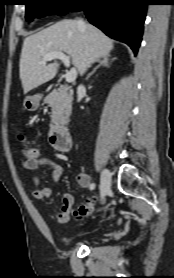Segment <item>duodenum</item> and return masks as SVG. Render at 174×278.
<instances>
[{"label": "duodenum", "instance_id": "1", "mask_svg": "<svg viewBox=\"0 0 174 278\" xmlns=\"http://www.w3.org/2000/svg\"><path fill=\"white\" fill-rule=\"evenodd\" d=\"M49 140L51 145L60 151H68L71 147V135L69 130L64 126L53 127L49 135Z\"/></svg>", "mask_w": 174, "mask_h": 278}]
</instances>
